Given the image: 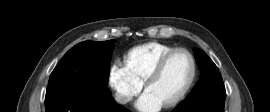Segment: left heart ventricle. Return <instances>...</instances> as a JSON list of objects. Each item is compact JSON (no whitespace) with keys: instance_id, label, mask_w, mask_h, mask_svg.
Wrapping results in <instances>:
<instances>
[{"instance_id":"left-heart-ventricle-1","label":"left heart ventricle","mask_w":270,"mask_h":112,"mask_svg":"<svg viewBox=\"0 0 270 112\" xmlns=\"http://www.w3.org/2000/svg\"><path fill=\"white\" fill-rule=\"evenodd\" d=\"M191 75V62L185 53L174 54L161 75L146 89L165 105L184 89Z\"/></svg>"}]
</instances>
